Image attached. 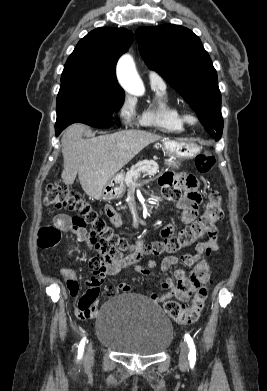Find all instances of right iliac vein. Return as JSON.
<instances>
[{
  "instance_id": "1",
  "label": "right iliac vein",
  "mask_w": 267,
  "mask_h": 391,
  "mask_svg": "<svg viewBox=\"0 0 267 391\" xmlns=\"http://www.w3.org/2000/svg\"><path fill=\"white\" fill-rule=\"evenodd\" d=\"M93 357H94L93 346H92V344H89L87 346V349H86V352H85V359H84V362H85V364L87 366L92 363Z\"/></svg>"
}]
</instances>
